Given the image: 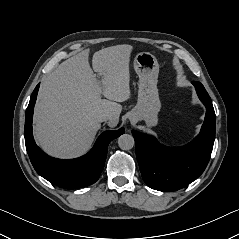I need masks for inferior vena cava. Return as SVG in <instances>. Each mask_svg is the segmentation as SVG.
<instances>
[{"label": "inferior vena cava", "mask_w": 239, "mask_h": 239, "mask_svg": "<svg viewBox=\"0 0 239 239\" xmlns=\"http://www.w3.org/2000/svg\"><path fill=\"white\" fill-rule=\"evenodd\" d=\"M96 119L99 122H104V121H109L111 119V116L109 114L103 113V114H99L96 117Z\"/></svg>", "instance_id": "obj_1"}]
</instances>
